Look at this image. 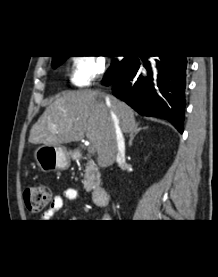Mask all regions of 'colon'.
<instances>
[{"mask_svg":"<svg viewBox=\"0 0 218 277\" xmlns=\"http://www.w3.org/2000/svg\"><path fill=\"white\" fill-rule=\"evenodd\" d=\"M51 198V191L45 185H35L25 189L24 203L27 209L37 213L42 211Z\"/></svg>","mask_w":218,"mask_h":277,"instance_id":"colon-1","label":"colon"}]
</instances>
